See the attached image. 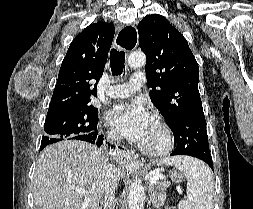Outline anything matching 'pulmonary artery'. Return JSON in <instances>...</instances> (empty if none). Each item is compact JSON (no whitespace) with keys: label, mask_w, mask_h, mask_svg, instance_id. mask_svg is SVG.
Segmentation results:
<instances>
[{"label":"pulmonary artery","mask_w":253,"mask_h":209,"mask_svg":"<svg viewBox=\"0 0 253 209\" xmlns=\"http://www.w3.org/2000/svg\"><path fill=\"white\" fill-rule=\"evenodd\" d=\"M144 85H145V75L143 72L138 71L133 74L129 83L113 85L107 90L106 93L111 98H123L138 91Z\"/></svg>","instance_id":"pulmonary-artery-1"}]
</instances>
